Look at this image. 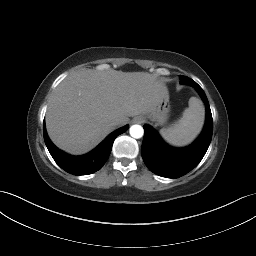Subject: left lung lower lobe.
<instances>
[{
	"mask_svg": "<svg viewBox=\"0 0 256 256\" xmlns=\"http://www.w3.org/2000/svg\"><path fill=\"white\" fill-rule=\"evenodd\" d=\"M186 82L197 90L206 108L205 126L197 140L188 147L173 148L151 126H143L142 158L151 172L162 177L179 178L195 168L204 157L212 139L213 119L208 99L195 81L188 78Z\"/></svg>",
	"mask_w": 256,
	"mask_h": 256,
	"instance_id": "obj_1",
	"label": "left lung lower lobe"
}]
</instances>
